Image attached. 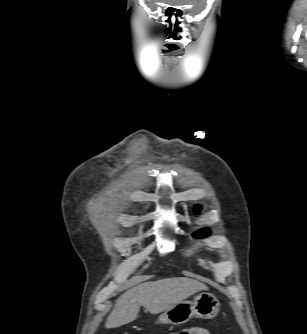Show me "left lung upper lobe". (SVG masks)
<instances>
[{
  "instance_id": "5c2ea615",
  "label": "left lung upper lobe",
  "mask_w": 307,
  "mask_h": 334,
  "mask_svg": "<svg viewBox=\"0 0 307 334\" xmlns=\"http://www.w3.org/2000/svg\"><path fill=\"white\" fill-rule=\"evenodd\" d=\"M195 212H199L200 211V207L199 206H196L195 208ZM210 234L208 228H203V229H200L199 231L195 232L193 234L194 237L196 238H202V237H205V236H208Z\"/></svg>"
}]
</instances>
